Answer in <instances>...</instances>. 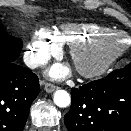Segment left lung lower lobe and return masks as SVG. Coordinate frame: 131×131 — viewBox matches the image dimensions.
Returning <instances> with one entry per match:
<instances>
[{"label": "left lung lower lobe", "instance_id": "0a47b994", "mask_svg": "<svg viewBox=\"0 0 131 131\" xmlns=\"http://www.w3.org/2000/svg\"><path fill=\"white\" fill-rule=\"evenodd\" d=\"M69 131H131V77L107 76L71 89Z\"/></svg>", "mask_w": 131, "mask_h": 131}]
</instances>
